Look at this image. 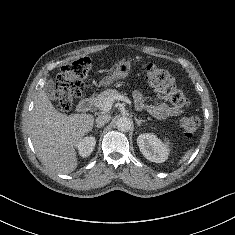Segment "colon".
<instances>
[{"mask_svg":"<svg viewBox=\"0 0 235 235\" xmlns=\"http://www.w3.org/2000/svg\"><path fill=\"white\" fill-rule=\"evenodd\" d=\"M92 69V61L88 57L78 58L64 65L56 79L54 101L61 112L69 111L84 89V80ZM142 72L158 95L177 107L188 106L190 101L177 86L175 79L165 69L152 63L142 66ZM183 134L192 137L200 126L196 116H184L179 121Z\"/></svg>","mask_w":235,"mask_h":235,"instance_id":"5ec220e1","label":"colon"}]
</instances>
